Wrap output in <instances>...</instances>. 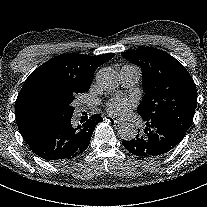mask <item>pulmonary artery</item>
Here are the masks:
<instances>
[{"mask_svg":"<svg viewBox=\"0 0 207 207\" xmlns=\"http://www.w3.org/2000/svg\"><path fill=\"white\" fill-rule=\"evenodd\" d=\"M122 84L126 87L134 85L140 78V71L134 66H124L120 71Z\"/></svg>","mask_w":207,"mask_h":207,"instance_id":"1","label":"pulmonary artery"}]
</instances>
